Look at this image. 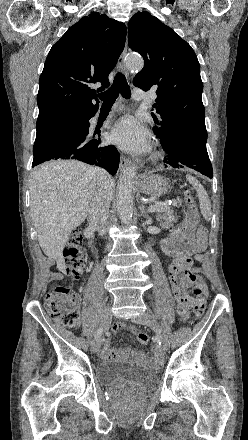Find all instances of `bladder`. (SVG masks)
Masks as SVG:
<instances>
[{"mask_svg": "<svg viewBox=\"0 0 248 440\" xmlns=\"http://www.w3.org/2000/svg\"><path fill=\"white\" fill-rule=\"evenodd\" d=\"M95 376L110 389L138 392L155 384L157 372L153 368L136 363L107 360L96 365Z\"/></svg>", "mask_w": 248, "mask_h": 440, "instance_id": "31cf9c89", "label": "bladder"}]
</instances>
